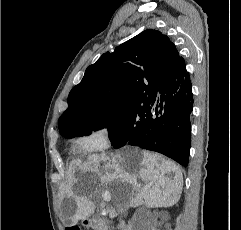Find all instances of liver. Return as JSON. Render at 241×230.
Wrapping results in <instances>:
<instances>
[{
  "label": "liver",
  "instance_id": "6515ba94",
  "mask_svg": "<svg viewBox=\"0 0 241 230\" xmlns=\"http://www.w3.org/2000/svg\"><path fill=\"white\" fill-rule=\"evenodd\" d=\"M170 174H173L170 176ZM93 175L100 181L96 191L90 194L94 197L101 186L129 183L132 193L126 198L129 205L137 207L145 205L148 208L171 207L179 199L183 188V177L180 167L161 155L151 154L138 148L126 147L120 152L111 154H92L86 162L75 161L68 174V183L62 188V198H74L77 207L72 215L71 225L88 218L95 211V204L88 197H78L75 191L83 184L85 177ZM145 183L143 187L138 182ZM76 185V186H74ZM74 186V188H73ZM102 192L108 193L118 205H123V197L115 193L114 188ZM65 223V219L62 217Z\"/></svg>",
  "mask_w": 241,
  "mask_h": 230
}]
</instances>
